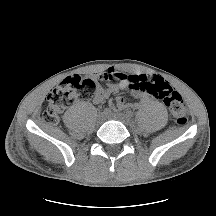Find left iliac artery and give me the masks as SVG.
Returning a JSON list of instances; mask_svg holds the SVG:
<instances>
[{
  "instance_id": "left-iliac-artery-1",
  "label": "left iliac artery",
  "mask_w": 216,
  "mask_h": 216,
  "mask_svg": "<svg viewBox=\"0 0 216 216\" xmlns=\"http://www.w3.org/2000/svg\"><path fill=\"white\" fill-rule=\"evenodd\" d=\"M126 115L128 116V117H133V112H131V111H126Z\"/></svg>"
}]
</instances>
